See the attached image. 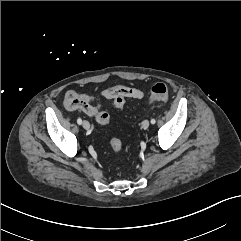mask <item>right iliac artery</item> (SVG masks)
I'll return each mask as SVG.
<instances>
[{"mask_svg": "<svg viewBox=\"0 0 241 241\" xmlns=\"http://www.w3.org/2000/svg\"><path fill=\"white\" fill-rule=\"evenodd\" d=\"M77 123H78L79 125H81V124H82V120H81L80 118H78V119H77Z\"/></svg>", "mask_w": 241, "mask_h": 241, "instance_id": "obj_1", "label": "right iliac artery"}]
</instances>
